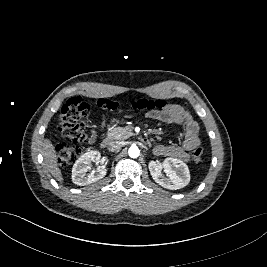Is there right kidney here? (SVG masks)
I'll return each instance as SVG.
<instances>
[{"label": "right kidney", "instance_id": "right-kidney-1", "mask_svg": "<svg viewBox=\"0 0 267 267\" xmlns=\"http://www.w3.org/2000/svg\"><path fill=\"white\" fill-rule=\"evenodd\" d=\"M92 162L105 164L88 173V171L91 169ZM107 163L108 159L106 157H101V154L98 151H89L83 154L73 165V183L79 186H85L102 179L107 173L105 166Z\"/></svg>", "mask_w": 267, "mask_h": 267}]
</instances>
